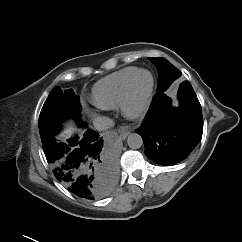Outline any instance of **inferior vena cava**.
Wrapping results in <instances>:
<instances>
[{
	"instance_id": "1",
	"label": "inferior vena cava",
	"mask_w": 242,
	"mask_h": 242,
	"mask_svg": "<svg viewBox=\"0 0 242 242\" xmlns=\"http://www.w3.org/2000/svg\"><path fill=\"white\" fill-rule=\"evenodd\" d=\"M93 125L96 130L104 131L114 126V122L112 119L106 116L96 117L93 121Z\"/></svg>"
}]
</instances>
